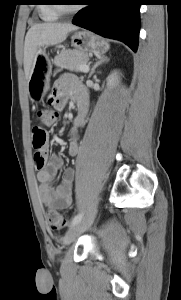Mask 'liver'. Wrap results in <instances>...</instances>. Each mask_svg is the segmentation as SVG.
Returning <instances> with one entry per match:
<instances>
[{
	"label": "liver",
	"mask_w": 181,
	"mask_h": 300,
	"mask_svg": "<svg viewBox=\"0 0 181 300\" xmlns=\"http://www.w3.org/2000/svg\"><path fill=\"white\" fill-rule=\"evenodd\" d=\"M77 26L70 23H40L33 25L27 32L24 43V72L27 80L35 64L36 56L44 46H54L66 40Z\"/></svg>",
	"instance_id": "obj_1"
}]
</instances>
